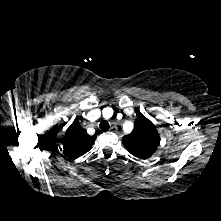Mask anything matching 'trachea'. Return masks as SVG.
Segmentation results:
<instances>
[{
    "instance_id": "obj_1",
    "label": "trachea",
    "mask_w": 221,
    "mask_h": 221,
    "mask_svg": "<svg viewBox=\"0 0 221 221\" xmlns=\"http://www.w3.org/2000/svg\"><path fill=\"white\" fill-rule=\"evenodd\" d=\"M99 126L102 131H107V130H109V127H110L109 123L105 120L102 121Z\"/></svg>"
}]
</instances>
